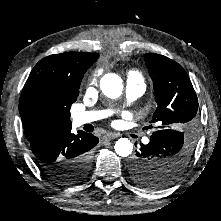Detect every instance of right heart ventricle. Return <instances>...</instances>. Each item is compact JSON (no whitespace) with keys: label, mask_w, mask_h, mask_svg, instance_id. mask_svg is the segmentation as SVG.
Wrapping results in <instances>:
<instances>
[{"label":"right heart ventricle","mask_w":221,"mask_h":221,"mask_svg":"<svg viewBox=\"0 0 221 221\" xmlns=\"http://www.w3.org/2000/svg\"><path fill=\"white\" fill-rule=\"evenodd\" d=\"M128 77H139L140 78V75L138 72L136 71H130L129 74H128Z\"/></svg>","instance_id":"obj_1"}]
</instances>
